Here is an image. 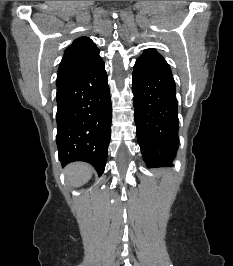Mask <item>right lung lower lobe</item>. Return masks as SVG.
<instances>
[{"label": "right lung lower lobe", "instance_id": "98d812e1", "mask_svg": "<svg viewBox=\"0 0 233 266\" xmlns=\"http://www.w3.org/2000/svg\"><path fill=\"white\" fill-rule=\"evenodd\" d=\"M56 85L59 160L62 166L73 161L89 162L101 176L112 117L104 62L98 55Z\"/></svg>", "mask_w": 233, "mask_h": 266}]
</instances>
